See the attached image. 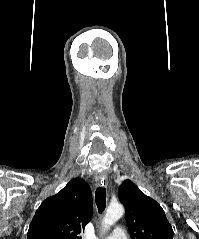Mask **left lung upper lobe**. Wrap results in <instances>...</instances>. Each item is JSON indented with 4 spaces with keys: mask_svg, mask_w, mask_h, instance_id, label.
Wrapping results in <instances>:
<instances>
[{
    "mask_svg": "<svg viewBox=\"0 0 199 239\" xmlns=\"http://www.w3.org/2000/svg\"><path fill=\"white\" fill-rule=\"evenodd\" d=\"M118 196L125 206L131 239H173V229L162 207L132 181L123 182Z\"/></svg>",
    "mask_w": 199,
    "mask_h": 239,
    "instance_id": "5c2ea615",
    "label": "left lung upper lobe"
}]
</instances>
